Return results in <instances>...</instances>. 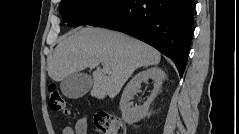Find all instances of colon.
I'll return each mask as SVG.
<instances>
[{
  "label": "colon",
  "mask_w": 239,
  "mask_h": 134,
  "mask_svg": "<svg viewBox=\"0 0 239 134\" xmlns=\"http://www.w3.org/2000/svg\"><path fill=\"white\" fill-rule=\"evenodd\" d=\"M48 105L54 112L62 113L65 116L69 115L66 100L54 84H51L48 89ZM94 124L97 130L102 134H126V127L123 121L116 115L108 112L96 114Z\"/></svg>",
  "instance_id": "1"
}]
</instances>
